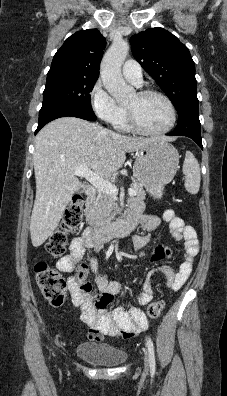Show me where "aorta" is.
I'll use <instances>...</instances> for the list:
<instances>
[{"instance_id": "1", "label": "aorta", "mask_w": 227, "mask_h": 396, "mask_svg": "<svg viewBox=\"0 0 227 396\" xmlns=\"http://www.w3.org/2000/svg\"><path fill=\"white\" fill-rule=\"evenodd\" d=\"M128 51L129 45L126 41H114L101 62L100 75L103 85L118 103L128 101L131 94V88L126 85L121 74V66Z\"/></svg>"}]
</instances>
